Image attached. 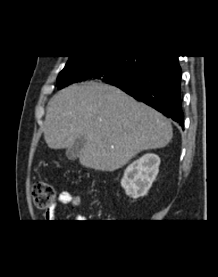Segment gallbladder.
Listing matches in <instances>:
<instances>
[{"label": "gallbladder", "mask_w": 218, "mask_h": 277, "mask_svg": "<svg viewBox=\"0 0 218 277\" xmlns=\"http://www.w3.org/2000/svg\"><path fill=\"white\" fill-rule=\"evenodd\" d=\"M86 144V138L85 137H79L75 140L74 144L67 148L66 150V156L70 160H76L79 157V154Z\"/></svg>", "instance_id": "gallbladder-1"}]
</instances>
